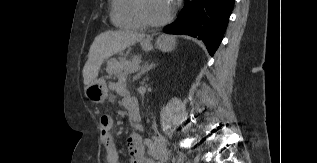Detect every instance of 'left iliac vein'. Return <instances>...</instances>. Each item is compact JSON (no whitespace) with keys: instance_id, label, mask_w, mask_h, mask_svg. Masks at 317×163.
Here are the masks:
<instances>
[{"instance_id":"1","label":"left iliac vein","mask_w":317,"mask_h":163,"mask_svg":"<svg viewBox=\"0 0 317 163\" xmlns=\"http://www.w3.org/2000/svg\"><path fill=\"white\" fill-rule=\"evenodd\" d=\"M165 159H166L165 154H162L161 160L165 161Z\"/></svg>"}]
</instances>
